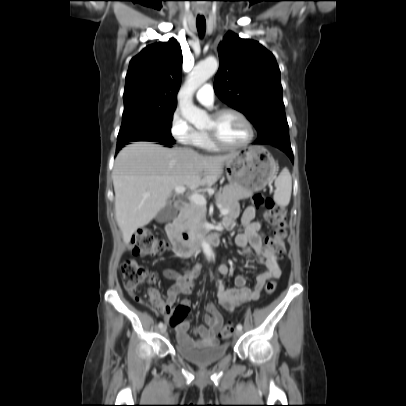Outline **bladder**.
Listing matches in <instances>:
<instances>
[{"label": "bladder", "mask_w": 406, "mask_h": 406, "mask_svg": "<svg viewBox=\"0 0 406 406\" xmlns=\"http://www.w3.org/2000/svg\"><path fill=\"white\" fill-rule=\"evenodd\" d=\"M228 345L216 344L212 346H187L176 342V351L184 359L198 364L208 365L224 358L228 353Z\"/></svg>", "instance_id": "1"}]
</instances>
